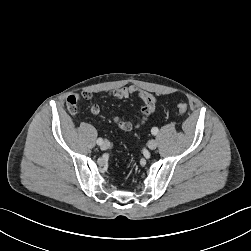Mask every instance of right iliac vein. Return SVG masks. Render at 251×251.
I'll use <instances>...</instances> for the list:
<instances>
[{"label":"right iliac vein","mask_w":251,"mask_h":251,"mask_svg":"<svg viewBox=\"0 0 251 251\" xmlns=\"http://www.w3.org/2000/svg\"><path fill=\"white\" fill-rule=\"evenodd\" d=\"M100 147L102 150H107L110 147V143L108 141H105L101 144Z\"/></svg>","instance_id":"1"}]
</instances>
